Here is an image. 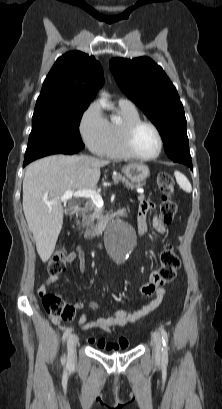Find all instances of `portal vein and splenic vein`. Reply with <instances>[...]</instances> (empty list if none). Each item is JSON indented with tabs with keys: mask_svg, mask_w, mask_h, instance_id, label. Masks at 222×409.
I'll list each match as a JSON object with an SVG mask.
<instances>
[{
	"mask_svg": "<svg viewBox=\"0 0 222 409\" xmlns=\"http://www.w3.org/2000/svg\"><path fill=\"white\" fill-rule=\"evenodd\" d=\"M140 193L143 192V190L138 191ZM72 197H76V198H90L93 203L96 206H103V199L100 196L99 193H97L94 190H67L60 198H59V202H66L67 200L71 199ZM58 201H51V202H46L47 205H53L55 203H57Z\"/></svg>",
	"mask_w": 222,
	"mask_h": 409,
	"instance_id": "18ae733b",
	"label": "portal vein and splenic vein"
}]
</instances>
